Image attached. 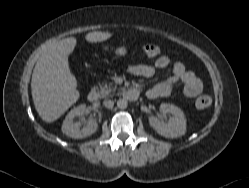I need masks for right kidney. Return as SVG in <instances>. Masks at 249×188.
I'll list each match as a JSON object with an SVG mask.
<instances>
[{"label": "right kidney", "mask_w": 249, "mask_h": 188, "mask_svg": "<svg viewBox=\"0 0 249 188\" xmlns=\"http://www.w3.org/2000/svg\"><path fill=\"white\" fill-rule=\"evenodd\" d=\"M86 112L87 110L85 105H79L72 109L63 122L62 132L74 139L86 138L95 133L98 128L96 119L88 120L87 124L83 128H81L80 123L74 122L75 117L82 116Z\"/></svg>", "instance_id": "obj_1"}]
</instances>
